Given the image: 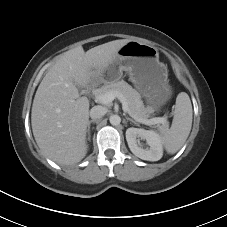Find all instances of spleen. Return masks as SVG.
Returning a JSON list of instances; mask_svg holds the SVG:
<instances>
[{"mask_svg":"<svg viewBox=\"0 0 227 227\" xmlns=\"http://www.w3.org/2000/svg\"><path fill=\"white\" fill-rule=\"evenodd\" d=\"M192 104L187 93L176 98L174 117L170 129L164 133L163 144L169 154H174L185 144L192 127Z\"/></svg>","mask_w":227,"mask_h":227,"instance_id":"3e777b00","label":"spleen"}]
</instances>
